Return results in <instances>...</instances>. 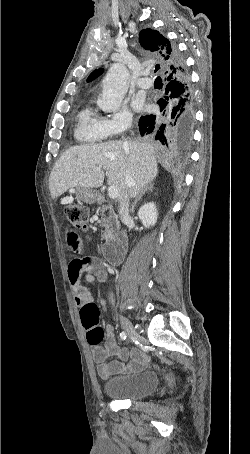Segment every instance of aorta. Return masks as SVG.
<instances>
[{
    "label": "aorta",
    "mask_w": 250,
    "mask_h": 454,
    "mask_svg": "<svg viewBox=\"0 0 250 454\" xmlns=\"http://www.w3.org/2000/svg\"><path fill=\"white\" fill-rule=\"evenodd\" d=\"M129 71L123 64H113L103 80V92L98 106L105 112L119 109L126 93Z\"/></svg>",
    "instance_id": "aorta-1"
}]
</instances>
